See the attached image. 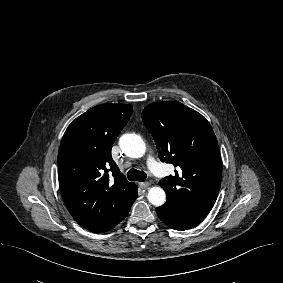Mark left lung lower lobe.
I'll list each match as a JSON object with an SVG mask.
<instances>
[{
  "instance_id": "0a47b994",
  "label": "left lung lower lobe",
  "mask_w": 283,
  "mask_h": 283,
  "mask_svg": "<svg viewBox=\"0 0 283 283\" xmlns=\"http://www.w3.org/2000/svg\"><path fill=\"white\" fill-rule=\"evenodd\" d=\"M156 213L165 224L175 230L191 229L203 220L182 214L173 208H167L163 206L158 207L156 209Z\"/></svg>"
}]
</instances>
